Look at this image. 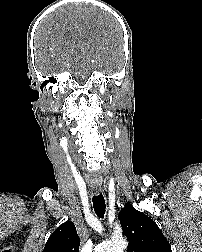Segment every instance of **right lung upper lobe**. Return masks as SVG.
I'll return each instance as SVG.
<instances>
[{"mask_svg": "<svg viewBox=\"0 0 202 252\" xmlns=\"http://www.w3.org/2000/svg\"><path fill=\"white\" fill-rule=\"evenodd\" d=\"M43 252H79V237L74 223L61 224L49 237Z\"/></svg>", "mask_w": 202, "mask_h": 252, "instance_id": "right-lung-upper-lobe-1", "label": "right lung upper lobe"}]
</instances>
